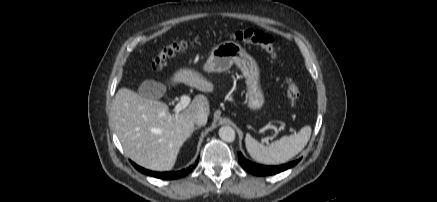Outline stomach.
<instances>
[{
	"instance_id": "0dacf381",
	"label": "stomach",
	"mask_w": 437,
	"mask_h": 202,
	"mask_svg": "<svg viewBox=\"0 0 437 202\" xmlns=\"http://www.w3.org/2000/svg\"><path fill=\"white\" fill-rule=\"evenodd\" d=\"M236 64L246 83L245 103L249 110L258 112L265 104V95L260 85V71L255 59L237 42L225 41L213 48L204 64L206 72H225Z\"/></svg>"
}]
</instances>
